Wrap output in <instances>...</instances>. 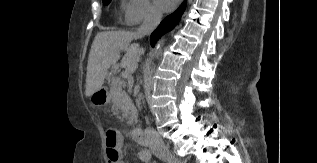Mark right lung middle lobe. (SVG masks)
I'll list each match as a JSON object with an SVG mask.
<instances>
[{"label": "right lung middle lobe", "mask_w": 317, "mask_h": 163, "mask_svg": "<svg viewBox=\"0 0 317 163\" xmlns=\"http://www.w3.org/2000/svg\"><path fill=\"white\" fill-rule=\"evenodd\" d=\"M102 1L105 5H108L111 2V0H102Z\"/></svg>", "instance_id": "dd1d6c3e"}]
</instances>
